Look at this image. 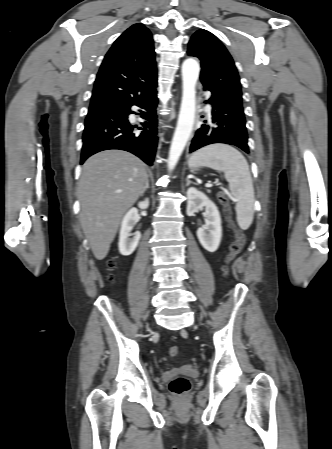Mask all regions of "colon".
Instances as JSON below:
<instances>
[{
  "label": "colon",
  "mask_w": 332,
  "mask_h": 449,
  "mask_svg": "<svg viewBox=\"0 0 332 449\" xmlns=\"http://www.w3.org/2000/svg\"><path fill=\"white\" fill-rule=\"evenodd\" d=\"M218 200L224 208L225 217L228 222H231V209H230V201L226 193L219 192ZM246 242V235L241 230H236L235 239L231 243L229 247V252L225 258V265L223 267L224 274H228V266L234 260V258L241 252L244 244ZM109 269H114L115 262H109ZM109 280L112 281V276H109ZM180 353V350L177 346H172L169 348V355L172 358H176ZM169 389L174 395H183L190 389V381L183 376L176 377L169 384Z\"/></svg>",
  "instance_id": "obj_1"
}]
</instances>
